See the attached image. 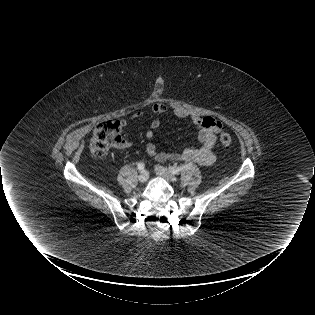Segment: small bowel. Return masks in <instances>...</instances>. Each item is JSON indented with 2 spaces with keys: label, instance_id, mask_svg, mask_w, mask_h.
<instances>
[{
  "label": "small bowel",
  "instance_id": "obj_1",
  "mask_svg": "<svg viewBox=\"0 0 315 315\" xmlns=\"http://www.w3.org/2000/svg\"><path fill=\"white\" fill-rule=\"evenodd\" d=\"M167 111V106L163 103H155L151 107V112L155 115L164 114ZM174 114L179 118H189L195 126L198 146H190L182 152L166 153L159 151L153 142H148L146 145L147 153L156 161H185L197 163L200 165L209 166L216 161L214 146L217 142V135L221 130V123L213 117H199L190 115L184 110L176 109ZM145 113L138 112L133 116L134 119L145 117ZM128 119L119 121L121 127L128 124ZM161 126V121L158 118L152 119L150 128L146 131L145 136L151 140L154 137L155 131ZM128 141H122L117 146L120 148L129 147Z\"/></svg>",
  "mask_w": 315,
  "mask_h": 315
}]
</instances>
